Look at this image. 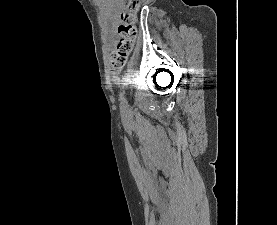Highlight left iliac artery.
Listing matches in <instances>:
<instances>
[{"mask_svg": "<svg viewBox=\"0 0 277 225\" xmlns=\"http://www.w3.org/2000/svg\"><path fill=\"white\" fill-rule=\"evenodd\" d=\"M126 92L125 90H123L122 92H120L119 94V100H120V108L122 112L126 111V106H127V100H126V96H125Z\"/></svg>", "mask_w": 277, "mask_h": 225, "instance_id": "left-iliac-artery-1", "label": "left iliac artery"}]
</instances>
